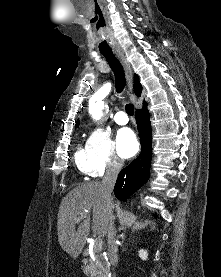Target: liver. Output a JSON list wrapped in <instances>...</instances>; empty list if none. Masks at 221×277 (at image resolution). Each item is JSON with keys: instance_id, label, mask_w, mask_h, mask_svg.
Instances as JSON below:
<instances>
[{"instance_id": "6515ba94", "label": "liver", "mask_w": 221, "mask_h": 277, "mask_svg": "<svg viewBox=\"0 0 221 277\" xmlns=\"http://www.w3.org/2000/svg\"><path fill=\"white\" fill-rule=\"evenodd\" d=\"M92 211L94 233L107 234L109 210L100 182H89L77 186L63 198L58 212V241L71 257L82 252L90 231ZM83 220L76 230L77 220Z\"/></svg>"}]
</instances>
